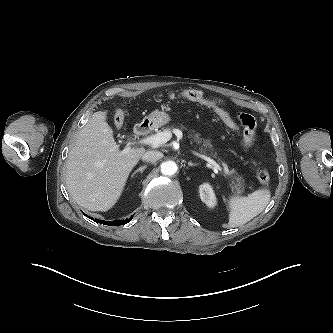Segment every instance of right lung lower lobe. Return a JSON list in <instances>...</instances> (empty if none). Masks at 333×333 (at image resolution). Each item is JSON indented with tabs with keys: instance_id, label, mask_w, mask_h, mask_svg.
I'll use <instances>...</instances> for the list:
<instances>
[{
	"instance_id": "obj_1",
	"label": "right lung lower lobe",
	"mask_w": 333,
	"mask_h": 333,
	"mask_svg": "<svg viewBox=\"0 0 333 333\" xmlns=\"http://www.w3.org/2000/svg\"><path fill=\"white\" fill-rule=\"evenodd\" d=\"M132 217L133 216H131L129 219H125V220L108 221V222L107 221H103V220L93 219V218H90V219H92L93 221H96L98 223L104 224V225L117 226V225H124V224L128 223L132 219Z\"/></svg>"
}]
</instances>
